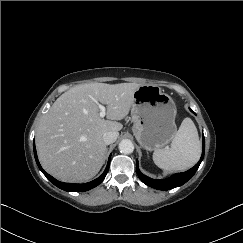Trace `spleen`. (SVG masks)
Listing matches in <instances>:
<instances>
[{"label":"spleen","mask_w":243,"mask_h":243,"mask_svg":"<svg viewBox=\"0 0 243 243\" xmlns=\"http://www.w3.org/2000/svg\"><path fill=\"white\" fill-rule=\"evenodd\" d=\"M201 155V144L195 124L185 118L170 147L157 149L153 153L154 163L168 171H184L197 163Z\"/></svg>","instance_id":"1"}]
</instances>
